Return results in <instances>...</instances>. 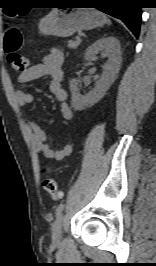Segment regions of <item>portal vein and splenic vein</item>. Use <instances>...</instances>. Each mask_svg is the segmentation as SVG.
I'll use <instances>...</instances> for the list:
<instances>
[{
    "label": "portal vein and splenic vein",
    "mask_w": 156,
    "mask_h": 266,
    "mask_svg": "<svg viewBox=\"0 0 156 266\" xmlns=\"http://www.w3.org/2000/svg\"><path fill=\"white\" fill-rule=\"evenodd\" d=\"M76 39H77V40H80V37L78 36V37H76Z\"/></svg>",
    "instance_id": "18ae733b"
}]
</instances>
